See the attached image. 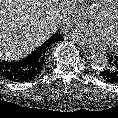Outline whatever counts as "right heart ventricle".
I'll return each mask as SVG.
<instances>
[{
	"instance_id": "obj_1",
	"label": "right heart ventricle",
	"mask_w": 118,
	"mask_h": 118,
	"mask_svg": "<svg viewBox=\"0 0 118 118\" xmlns=\"http://www.w3.org/2000/svg\"><path fill=\"white\" fill-rule=\"evenodd\" d=\"M111 0H92V3L95 8L101 10L105 7Z\"/></svg>"
}]
</instances>
